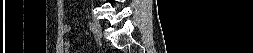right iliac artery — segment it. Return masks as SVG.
<instances>
[{"label": "right iliac artery", "instance_id": "obj_1", "mask_svg": "<svg viewBox=\"0 0 253 53\" xmlns=\"http://www.w3.org/2000/svg\"><path fill=\"white\" fill-rule=\"evenodd\" d=\"M89 28H90V30H91L93 33H95V32H94V26H93V23H89Z\"/></svg>", "mask_w": 253, "mask_h": 53}]
</instances>
